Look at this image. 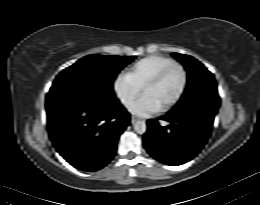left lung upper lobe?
Returning a JSON list of instances; mask_svg holds the SVG:
<instances>
[{
    "mask_svg": "<svg viewBox=\"0 0 260 205\" xmlns=\"http://www.w3.org/2000/svg\"><path fill=\"white\" fill-rule=\"evenodd\" d=\"M173 57L186 68L188 82L183 96L170 112H198L214 117L220 105L214 75L191 56L173 53Z\"/></svg>",
    "mask_w": 260,
    "mask_h": 205,
    "instance_id": "left-lung-upper-lobe-1",
    "label": "left lung upper lobe"
}]
</instances>
